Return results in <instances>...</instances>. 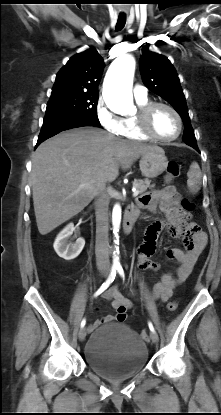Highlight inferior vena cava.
<instances>
[{"label":"inferior vena cava","instance_id":"602c4592","mask_svg":"<svg viewBox=\"0 0 221 415\" xmlns=\"http://www.w3.org/2000/svg\"><path fill=\"white\" fill-rule=\"evenodd\" d=\"M108 197L104 188H100L97 192L95 203L96 215V264L98 268H109L108 259Z\"/></svg>","mask_w":221,"mask_h":415}]
</instances>
